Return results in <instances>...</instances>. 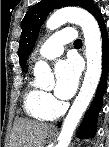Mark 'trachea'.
Returning <instances> with one entry per match:
<instances>
[{
  "label": "trachea",
  "mask_w": 109,
  "mask_h": 147,
  "mask_svg": "<svg viewBox=\"0 0 109 147\" xmlns=\"http://www.w3.org/2000/svg\"><path fill=\"white\" fill-rule=\"evenodd\" d=\"M82 44V41L80 39H77L75 42H74V45H80Z\"/></svg>",
  "instance_id": "1"
}]
</instances>
